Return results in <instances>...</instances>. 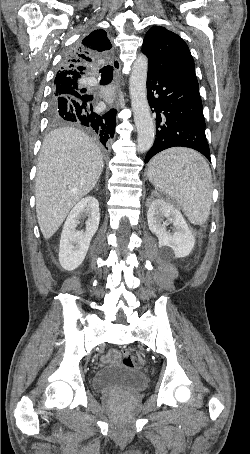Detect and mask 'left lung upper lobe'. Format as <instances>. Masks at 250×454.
Listing matches in <instances>:
<instances>
[{
  "mask_svg": "<svg viewBox=\"0 0 250 454\" xmlns=\"http://www.w3.org/2000/svg\"><path fill=\"white\" fill-rule=\"evenodd\" d=\"M148 68L171 76L196 79L194 60L187 44L161 26L152 27L143 41Z\"/></svg>",
  "mask_w": 250,
  "mask_h": 454,
  "instance_id": "left-lung-upper-lobe-1",
  "label": "left lung upper lobe"
}]
</instances>
